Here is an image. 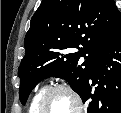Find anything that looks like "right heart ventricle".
Here are the masks:
<instances>
[{"instance_id": "obj_1", "label": "right heart ventricle", "mask_w": 121, "mask_h": 113, "mask_svg": "<svg viewBox=\"0 0 121 113\" xmlns=\"http://www.w3.org/2000/svg\"><path fill=\"white\" fill-rule=\"evenodd\" d=\"M44 90H45V89L39 91V92L34 96L33 101H32V103H31V107H30L31 110H34V109H35L36 103H37L38 99L40 98V96H41V94H42V92H43Z\"/></svg>"}]
</instances>
